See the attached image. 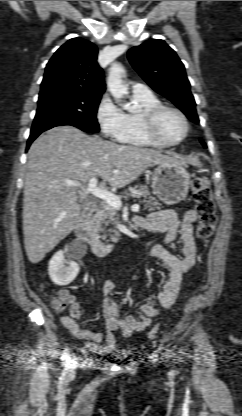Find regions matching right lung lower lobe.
<instances>
[{"mask_svg": "<svg viewBox=\"0 0 242 416\" xmlns=\"http://www.w3.org/2000/svg\"><path fill=\"white\" fill-rule=\"evenodd\" d=\"M61 125H72V126L78 127L79 129L83 130L81 125L76 124V123L71 122V121L58 123V124H56V125L47 126V127H45V128H41V129L31 130V134H30V137H29L28 142H27V147H26V150H28V148H29V146L31 145V143L33 142V140H34V139H35L38 135H40L42 132H44V131H46V130H48V129L52 128V127H55V126H61Z\"/></svg>", "mask_w": 242, "mask_h": 416, "instance_id": "right-lung-lower-lobe-1", "label": "right lung lower lobe"}]
</instances>
